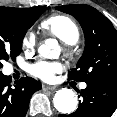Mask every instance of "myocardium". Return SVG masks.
Listing matches in <instances>:
<instances>
[{
	"label": "myocardium",
	"mask_w": 117,
	"mask_h": 117,
	"mask_svg": "<svg viewBox=\"0 0 117 117\" xmlns=\"http://www.w3.org/2000/svg\"><path fill=\"white\" fill-rule=\"evenodd\" d=\"M64 52L67 54V55H74V49L72 46H70L69 44H66L65 47H64Z\"/></svg>",
	"instance_id": "1"
}]
</instances>
